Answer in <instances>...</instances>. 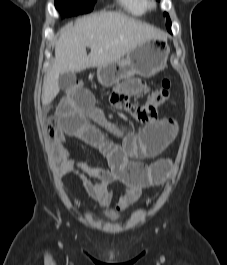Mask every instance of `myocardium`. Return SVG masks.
I'll use <instances>...</instances> for the list:
<instances>
[{"instance_id":"myocardium-1","label":"myocardium","mask_w":227,"mask_h":265,"mask_svg":"<svg viewBox=\"0 0 227 265\" xmlns=\"http://www.w3.org/2000/svg\"><path fill=\"white\" fill-rule=\"evenodd\" d=\"M146 6L148 9H154L157 6L156 0H146Z\"/></svg>"}]
</instances>
